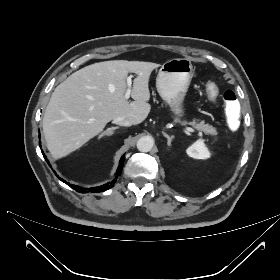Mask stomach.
Instances as JSON below:
<instances>
[{"mask_svg":"<svg viewBox=\"0 0 280 280\" xmlns=\"http://www.w3.org/2000/svg\"><path fill=\"white\" fill-rule=\"evenodd\" d=\"M193 76V66L188 58H174L166 61L156 78L160 97L169 107L173 116H185L183 101Z\"/></svg>","mask_w":280,"mask_h":280,"instance_id":"1","label":"stomach"}]
</instances>
